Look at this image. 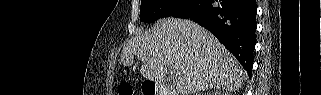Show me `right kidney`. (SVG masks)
<instances>
[{
	"instance_id": "obj_1",
	"label": "right kidney",
	"mask_w": 321,
	"mask_h": 95,
	"mask_svg": "<svg viewBox=\"0 0 321 95\" xmlns=\"http://www.w3.org/2000/svg\"><path fill=\"white\" fill-rule=\"evenodd\" d=\"M218 94L221 95V93H217V92L215 93V95H218ZM225 95H228V93H225Z\"/></svg>"
}]
</instances>
